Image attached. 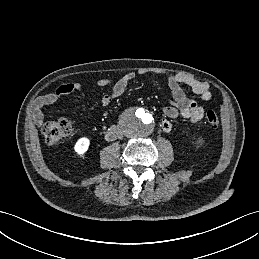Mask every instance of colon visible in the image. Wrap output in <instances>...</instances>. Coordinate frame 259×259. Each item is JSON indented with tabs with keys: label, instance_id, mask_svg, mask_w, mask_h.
Segmentation results:
<instances>
[{
	"label": "colon",
	"instance_id": "5ec220e1",
	"mask_svg": "<svg viewBox=\"0 0 259 259\" xmlns=\"http://www.w3.org/2000/svg\"><path fill=\"white\" fill-rule=\"evenodd\" d=\"M206 122L212 128L219 124V118L213 111L206 113ZM72 131V123L68 119L61 118L46 122L42 127L45 141L49 145H56L65 139Z\"/></svg>",
	"mask_w": 259,
	"mask_h": 259
}]
</instances>
